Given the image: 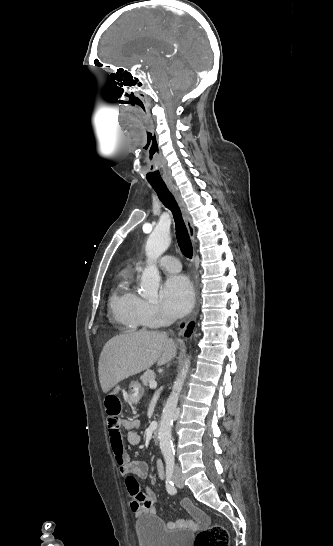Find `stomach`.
Listing matches in <instances>:
<instances>
[{
  "mask_svg": "<svg viewBox=\"0 0 333 546\" xmlns=\"http://www.w3.org/2000/svg\"><path fill=\"white\" fill-rule=\"evenodd\" d=\"M144 394V389L138 382H132L128 387L127 400L136 404Z\"/></svg>",
  "mask_w": 333,
  "mask_h": 546,
  "instance_id": "0dacf381",
  "label": "stomach"
}]
</instances>
